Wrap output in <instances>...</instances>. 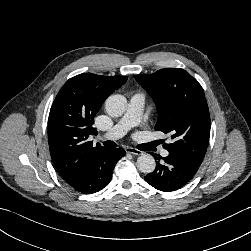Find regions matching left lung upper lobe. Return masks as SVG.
I'll return each instance as SVG.
<instances>
[{"label": "left lung upper lobe", "instance_id": "1", "mask_svg": "<svg viewBox=\"0 0 251 251\" xmlns=\"http://www.w3.org/2000/svg\"><path fill=\"white\" fill-rule=\"evenodd\" d=\"M153 98L158 112L156 131L172 143L163 147L202 163L210 136V115L203 88L183 69L166 68L135 76Z\"/></svg>", "mask_w": 251, "mask_h": 251}]
</instances>
